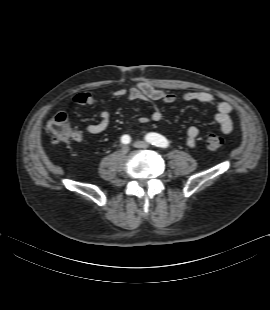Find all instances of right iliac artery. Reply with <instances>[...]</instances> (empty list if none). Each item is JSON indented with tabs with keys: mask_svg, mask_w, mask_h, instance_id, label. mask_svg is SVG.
Returning <instances> with one entry per match:
<instances>
[{
	"mask_svg": "<svg viewBox=\"0 0 270 310\" xmlns=\"http://www.w3.org/2000/svg\"><path fill=\"white\" fill-rule=\"evenodd\" d=\"M121 142H122L123 144H129V143L131 142L130 136H129V135H123V136L121 137Z\"/></svg>",
	"mask_w": 270,
	"mask_h": 310,
	"instance_id": "82829eb1",
	"label": "right iliac artery"
}]
</instances>
